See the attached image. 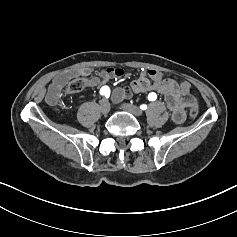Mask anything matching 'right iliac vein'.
<instances>
[{
    "label": "right iliac vein",
    "mask_w": 237,
    "mask_h": 237,
    "mask_svg": "<svg viewBox=\"0 0 237 237\" xmlns=\"http://www.w3.org/2000/svg\"><path fill=\"white\" fill-rule=\"evenodd\" d=\"M100 110L105 115L109 113V111H110V104H109L108 100L103 99L100 102Z\"/></svg>",
    "instance_id": "1"
}]
</instances>
